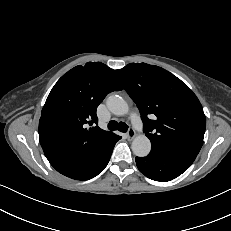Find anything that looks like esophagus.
Here are the masks:
<instances>
[{"mask_svg":"<svg viewBox=\"0 0 231 231\" xmlns=\"http://www.w3.org/2000/svg\"><path fill=\"white\" fill-rule=\"evenodd\" d=\"M136 136V132L135 130L131 127L129 128L128 132H127V138L129 140H132L134 137Z\"/></svg>","mask_w":231,"mask_h":231,"instance_id":"esophagus-1","label":"esophagus"}]
</instances>
